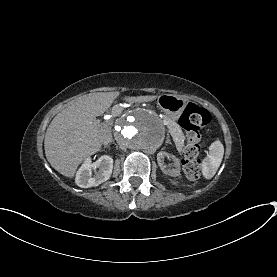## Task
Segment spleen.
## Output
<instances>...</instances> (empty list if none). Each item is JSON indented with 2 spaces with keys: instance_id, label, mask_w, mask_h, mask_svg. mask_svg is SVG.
I'll use <instances>...</instances> for the list:
<instances>
[{
  "instance_id": "spleen-1",
  "label": "spleen",
  "mask_w": 277,
  "mask_h": 277,
  "mask_svg": "<svg viewBox=\"0 0 277 277\" xmlns=\"http://www.w3.org/2000/svg\"><path fill=\"white\" fill-rule=\"evenodd\" d=\"M224 155V147L221 139L217 137L209 146V154L202 161V175L205 179H211L219 168Z\"/></svg>"
}]
</instances>
